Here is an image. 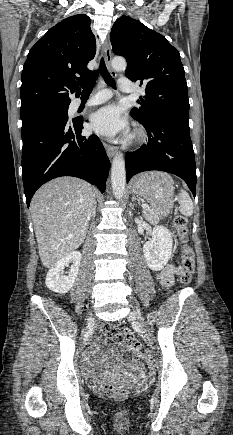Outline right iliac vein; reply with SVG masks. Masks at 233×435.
<instances>
[{
  "label": "right iliac vein",
  "instance_id": "obj_1",
  "mask_svg": "<svg viewBox=\"0 0 233 435\" xmlns=\"http://www.w3.org/2000/svg\"><path fill=\"white\" fill-rule=\"evenodd\" d=\"M93 317L92 316H90L89 318H88V323H91V322H93Z\"/></svg>",
  "mask_w": 233,
  "mask_h": 435
}]
</instances>
